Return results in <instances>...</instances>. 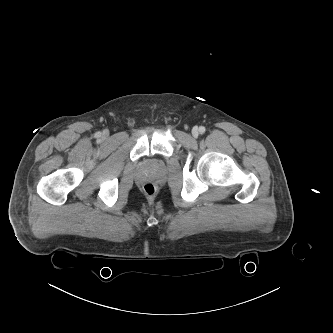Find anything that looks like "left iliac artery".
Segmentation results:
<instances>
[{
	"label": "left iliac artery",
	"mask_w": 333,
	"mask_h": 333,
	"mask_svg": "<svg viewBox=\"0 0 333 333\" xmlns=\"http://www.w3.org/2000/svg\"><path fill=\"white\" fill-rule=\"evenodd\" d=\"M199 132H200L201 134L205 133V127H204V126H200V127H199Z\"/></svg>",
	"instance_id": "44dca946"
}]
</instances>
